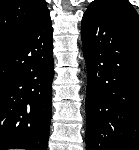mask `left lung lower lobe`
<instances>
[{
  "mask_svg": "<svg viewBox=\"0 0 139 150\" xmlns=\"http://www.w3.org/2000/svg\"><path fill=\"white\" fill-rule=\"evenodd\" d=\"M81 37L87 150H139V18L127 0L93 2Z\"/></svg>",
  "mask_w": 139,
  "mask_h": 150,
  "instance_id": "0a47b994",
  "label": "left lung lower lobe"
}]
</instances>
